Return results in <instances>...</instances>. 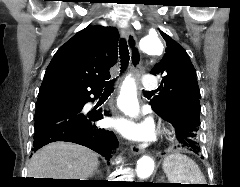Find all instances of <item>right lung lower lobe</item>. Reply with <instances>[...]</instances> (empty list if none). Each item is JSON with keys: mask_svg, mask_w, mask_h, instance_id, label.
I'll return each instance as SVG.
<instances>
[{"mask_svg": "<svg viewBox=\"0 0 240 187\" xmlns=\"http://www.w3.org/2000/svg\"><path fill=\"white\" fill-rule=\"evenodd\" d=\"M102 89L85 94L79 98L80 102L76 106L52 102L37 108L33 150L36 151L51 142L69 141L86 146L109 160L112 150L117 146L116 136L112 131L98 128L95 122L102 119L103 115L110 114L102 108L88 113L82 112L84 105L93 100L90 95L94 94L97 98Z\"/></svg>", "mask_w": 240, "mask_h": 187, "instance_id": "obj_1", "label": "right lung lower lobe"}]
</instances>
